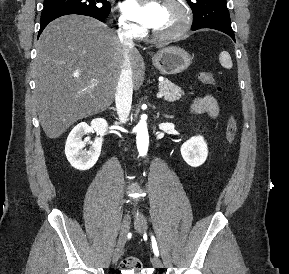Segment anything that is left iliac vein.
I'll return each mask as SVG.
<instances>
[{"mask_svg":"<svg viewBox=\"0 0 289 274\" xmlns=\"http://www.w3.org/2000/svg\"><path fill=\"white\" fill-rule=\"evenodd\" d=\"M134 227L138 233H140V234L145 233V231L147 229L146 218L140 214L134 222ZM152 263L156 268H162L163 267V263L158 258V256L153 257Z\"/></svg>","mask_w":289,"mask_h":274,"instance_id":"1","label":"left iliac vein"}]
</instances>
